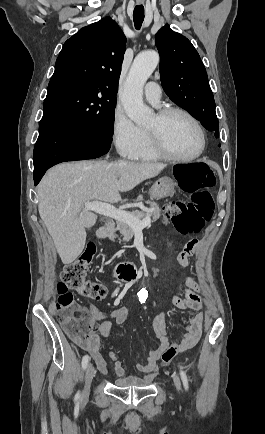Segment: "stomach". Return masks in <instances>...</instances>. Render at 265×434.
I'll return each instance as SVG.
<instances>
[{"instance_id":"stomach-1","label":"stomach","mask_w":265,"mask_h":434,"mask_svg":"<svg viewBox=\"0 0 265 434\" xmlns=\"http://www.w3.org/2000/svg\"><path fill=\"white\" fill-rule=\"evenodd\" d=\"M175 186L176 184L174 180H171V178H160V180H157V182L153 184L152 188H150V198H152V200L168 198V196H171V194L175 192Z\"/></svg>"}]
</instances>
